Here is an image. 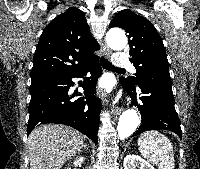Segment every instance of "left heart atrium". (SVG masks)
Masks as SVG:
<instances>
[{"label": "left heart atrium", "mask_w": 200, "mask_h": 169, "mask_svg": "<svg viewBox=\"0 0 200 169\" xmlns=\"http://www.w3.org/2000/svg\"><path fill=\"white\" fill-rule=\"evenodd\" d=\"M102 87L108 89V88H109V85H108V83L103 82V83H102Z\"/></svg>", "instance_id": "left-heart-atrium-1"}]
</instances>
